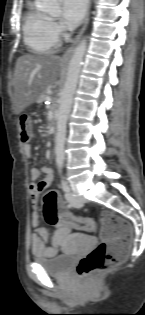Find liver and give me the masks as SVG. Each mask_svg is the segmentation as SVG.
<instances>
[{
  "mask_svg": "<svg viewBox=\"0 0 145 315\" xmlns=\"http://www.w3.org/2000/svg\"><path fill=\"white\" fill-rule=\"evenodd\" d=\"M62 65V59L54 54H25L18 58L13 78L15 114L41 99L44 91L56 84Z\"/></svg>",
  "mask_w": 145,
  "mask_h": 315,
  "instance_id": "1",
  "label": "liver"
}]
</instances>
